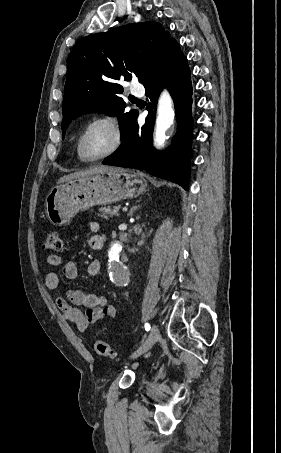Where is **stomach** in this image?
I'll return each mask as SVG.
<instances>
[{
	"label": "stomach",
	"mask_w": 281,
	"mask_h": 453,
	"mask_svg": "<svg viewBox=\"0 0 281 453\" xmlns=\"http://www.w3.org/2000/svg\"><path fill=\"white\" fill-rule=\"evenodd\" d=\"M147 182L142 172L129 168H114L74 178L53 186L45 198L46 216L55 227L69 224L79 210L95 204H112L122 198H135L145 192Z\"/></svg>",
	"instance_id": "obj_1"
}]
</instances>
